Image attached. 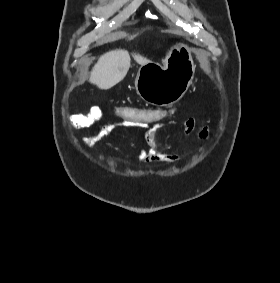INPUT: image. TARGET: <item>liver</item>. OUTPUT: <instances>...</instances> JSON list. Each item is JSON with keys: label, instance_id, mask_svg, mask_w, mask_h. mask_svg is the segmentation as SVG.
<instances>
[{"label": "liver", "instance_id": "liver-1", "mask_svg": "<svg viewBox=\"0 0 280 283\" xmlns=\"http://www.w3.org/2000/svg\"><path fill=\"white\" fill-rule=\"evenodd\" d=\"M135 61L144 65L147 58L133 53ZM131 58L127 50L116 49L103 54L92 69L89 81L100 89H110L122 81L130 68Z\"/></svg>", "mask_w": 280, "mask_h": 283}]
</instances>
